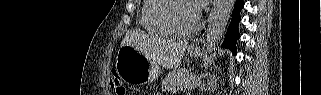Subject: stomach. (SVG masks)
Masks as SVG:
<instances>
[{
	"label": "stomach",
	"mask_w": 321,
	"mask_h": 95,
	"mask_svg": "<svg viewBox=\"0 0 321 95\" xmlns=\"http://www.w3.org/2000/svg\"><path fill=\"white\" fill-rule=\"evenodd\" d=\"M200 52V48L188 49V53L194 57L199 56ZM115 66L120 78L133 84H148L160 73V67L156 62L130 45L119 48Z\"/></svg>",
	"instance_id": "0dacf381"
}]
</instances>
